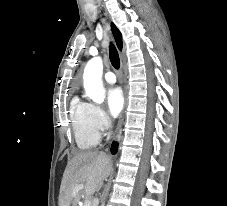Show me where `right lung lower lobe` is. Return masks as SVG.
Segmentation results:
<instances>
[{"label":"right lung lower lobe","mask_w":227,"mask_h":206,"mask_svg":"<svg viewBox=\"0 0 227 206\" xmlns=\"http://www.w3.org/2000/svg\"><path fill=\"white\" fill-rule=\"evenodd\" d=\"M117 148H118L117 142L113 143L111 147L112 154H115L117 152Z\"/></svg>","instance_id":"98d812e1"}]
</instances>
